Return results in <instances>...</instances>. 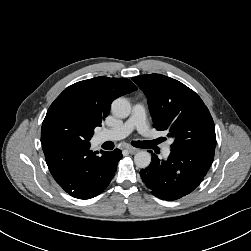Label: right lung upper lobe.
<instances>
[{"mask_svg": "<svg viewBox=\"0 0 251 251\" xmlns=\"http://www.w3.org/2000/svg\"><path fill=\"white\" fill-rule=\"evenodd\" d=\"M135 90L137 87L126 78L96 77L83 80L67 87L48 111L57 108L69 111L94 130L108 116L114 99Z\"/></svg>", "mask_w": 251, "mask_h": 251, "instance_id": "obj_1", "label": "right lung upper lobe"}]
</instances>
